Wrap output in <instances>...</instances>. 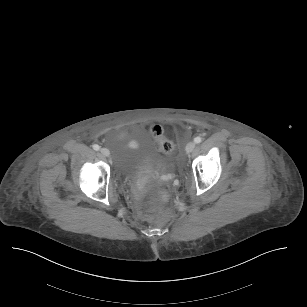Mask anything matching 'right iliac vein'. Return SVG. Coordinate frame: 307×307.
<instances>
[{"instance_id":"1","label":"right iliac vein","mask_w":307,"mask_h":307,"mask_svg":"<svg viewBox=\"0 0 307 307\" xmlns=\"http://www.w3.org/2000/svg\"><path fill=\"white\" fill-rule=\"evenodd\" d=\"M100 152L105 157H109L110 156V151L107 148H101Z\"/></svg>"}]
</instances>
